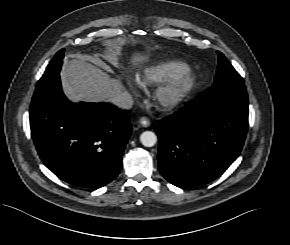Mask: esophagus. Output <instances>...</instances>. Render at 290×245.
Returning <instances> with one entry per match:
<instances>
[{"mask_svg":"<svg viewBox=\"0 0 290 245\" xmlns=\"http://www.w3.org/2000/svg\"><path fill=\"white\" fill-rule=\"evenodd\" d=\"M139 123L141 124V126H143V127H148V126H150V121H149V119L147 118V117H141L140 119H139Z\"/></svg>","mask_w":290,"mask_h":245,"instance_id":"34e87169","label":"esophagus"}]
</instances>
